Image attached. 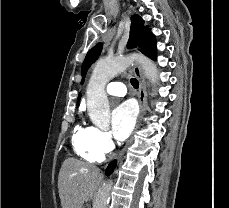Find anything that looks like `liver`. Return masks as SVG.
Returning a JSON list of instances; mask_svg holds the SVG:
<instances>
[{
	"instance_id": "obj_1",
	"label": "liver",
	"mask_w": 229,
	"mask_h": 208,
	"mask_svg": "<svg viewBox=\"0 0 229 208\" xmlns=\"http://www.w3.org/2000/svg\"><path fill=\"white\" fill-rule=\"evenodd\" d=\"M103 180L99 168L68 158L61 166L58 190L62 208H82L85 202L92 200Z\"/></svg>"
}]
</instances>
